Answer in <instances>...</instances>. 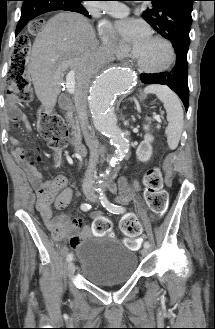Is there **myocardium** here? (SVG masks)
I'll return each instance as SVG.
<instances>
[{
    "label": "myocardium",
    "instance_id": "obj_1",
    "mask_svg": "<svg viewBox=\"0 0 215 329\" xmlns=\"http://www.w3.org/2000/svg\"><path fill=\"white\" fill-rule=\"evenodd\" d=\"M152 39L154 40H158L162 43L165 44V46L167 47L168 51H169V58L168 61L159 68H148L145 67L144 65H142L139 60L137 59L135 52H133L132 54V59L133 62L135 63V65L137 66V68L147 74H158V73H163L166 72L167 70H169L173 64L175 63L176 60V51H175V47L173 45V43L166 37L162 36V35H154L152 37Z\"/></svg>",
    "mask_w": 215,
    "mask_h": 329
}]
</instances>
